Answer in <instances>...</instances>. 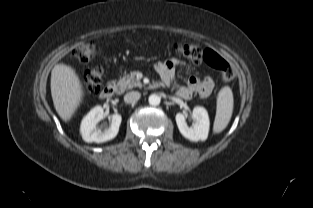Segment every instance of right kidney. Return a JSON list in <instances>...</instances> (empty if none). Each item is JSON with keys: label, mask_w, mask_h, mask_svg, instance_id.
Returning <instances> with one entry per match:
<instances>
[{"label": "right kidney", "mask_w": 313, "mask_h": 208, "mask_svg": "<svg viewBox=\"0 0 313 208\" xmlns=\"http://www.w3.org/2000/svg\"><path fill=\"white\" fill-rule=\"evenodd\" d=\"M103 117V108L101 106H96L83 118L81 122L80 132L85 142L102 143L112 140L116 137L122 121L121 115H112L109 128L101 130L97 128V124L103 119Z\"/></svg>", "instance_id": "1"}]
</instances>
